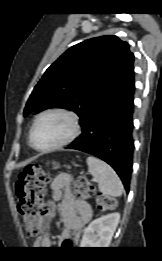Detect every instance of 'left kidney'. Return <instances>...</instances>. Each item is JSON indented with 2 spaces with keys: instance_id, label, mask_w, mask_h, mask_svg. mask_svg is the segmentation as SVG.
Instances as JSON below:
<instances>
[{
  "instance_id": "5707ae66",
  "label": "left kidney",
  "mask_w": 162,
  "mask_h": 261,
  "mask_svg": "<svg viewBox=\"0 0 162 261\" xmlns=\"http://www.w3.org/2000/svg\"><path fill=\"white\" fill-rule=\"evenodd\" d=\"M120 220L117 212L93 220L84 230L80 247L106 248L110 245L113 234Z\"/></svg>"
}]
</instances>
